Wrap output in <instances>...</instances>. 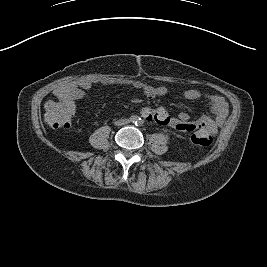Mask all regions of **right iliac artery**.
<instances>
[{"label": "right iliac artery", "instance_id": "82829eb1", "mask_svg": "<svg viewBox=\"0 0 267 267\" xmlns=\"http://www.w3.org/2000/svg\"><path fill=\"white\" fill-rule=\"evenodd\" d=\"M139 117H137V116H131L130 117V121L132 122V123H134L135 125L137 124V122L139 121Z\"/></svg>", "mask_w": 267, "mask_h": 267}]
</instances>
